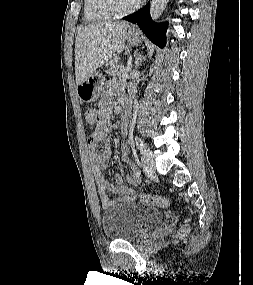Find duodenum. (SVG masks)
<instances>
[{"label": "duodenum", "mask_w": 253, "mask_h": 285, "mask_svg": "<svg viewBox=\"0 0 253 285\" xmlns=\"http://www.w3.org/2000/svg\"><path fill=\"white\" fill-rule=\"evenodd\" d=\"M126 109H125V112L123 113V116H122V121L123 123H126L127 119H128V115H129V101L126 100Z\"/></svg>", "instance_id": "obj_1"}]
</instances>
